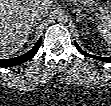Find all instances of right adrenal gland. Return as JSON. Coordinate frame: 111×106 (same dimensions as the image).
Instances as JSON below:
<instances>
[{
  "instance_id": "2a0ac1e0",
  "label": "right adrenal gland",
  "mask_w": 111,
  "mask_h": 106,
  "mask_svg": "<svg viewBox=\"0 0 111 106\" xmlns=\"http://www.w3.org/2000/svg\"><path fill=\"white\" fill-rule=\"evenodd\" d=\"M37 24H38V23H37V22H35V23H34V25H33V28H34ZM32 31H33V30H32ZM31 33H32V32H31Z\"/></svg>"
}]
</instances>
